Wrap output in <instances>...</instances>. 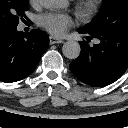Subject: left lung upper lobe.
Instances as JSON below:
<instances>
[{
    "label": "left lung upper lobe",
    "instance_id": "obj_1",
    "mask_svg": "<svg viewBox=\"0 0 128 128\" xmlns=\"http://www.w3.org/2000/svg\"><path fill=\"white\" fill-rule=\"evenodd\" d=\"M84 29L97 34L128 29V0H103L100 13Z\"/></svg>",
    "mask_w": 128,
    "mask_h": 128
}]
</instances>
